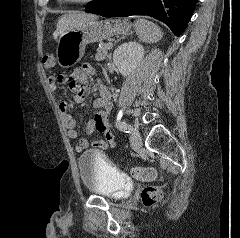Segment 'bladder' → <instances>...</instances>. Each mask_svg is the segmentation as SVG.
<instances>
[{
	"label": "bladder",
	"instance_id": "31cf9c89",
	"mask_svg": "<svg viewBox=\"0 0 240 238\" xmlns=\"http://www.w3.org/2000/svg\"><path fill=\"white\" fill-rule=\"evenodd\" d=\"M78 168L83 186L95 195L120 200L132 190L131 180L94 149H88L80 155Z\"/></svg>",
	"mask_w": 240,
	"mask_h": 238
}]
</instances>
